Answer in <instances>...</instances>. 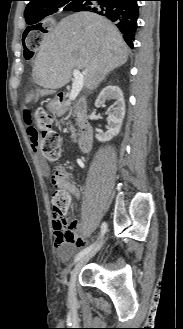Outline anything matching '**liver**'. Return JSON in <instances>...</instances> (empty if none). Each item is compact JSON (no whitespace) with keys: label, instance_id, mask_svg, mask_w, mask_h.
Here are the masks:
<instances>
[{"label":"liver","instance_id":"6515ba94","mask_svg":"<svg viewBox=\"0 0 183 329\" xmlns=\"http://www.w3.org/2000/svg\"><path fill=\"white\" fill-rule=\"evenodd\" d=\"M129 48L118 29L106 18L92 12H79L63 18L41 42L33 76L44 89L36 98L55 93L69 83L74 69L82 70L89 89L126 63ZM28 94L25 103L32 101Z\"/></svg>","mask_w":183,"mask_h":329}]
</instances>
